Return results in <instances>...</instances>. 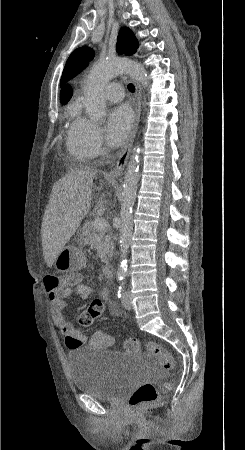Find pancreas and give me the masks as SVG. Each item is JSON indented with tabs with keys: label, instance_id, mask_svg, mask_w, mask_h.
Masks as SVG:
<instances>
[{
	"label": "pancreas",
	"instance_id": "1",
	"mask_svg": "<svg viewBox=\"0 0 245 450\" xmlns=\"http://www.w3.org/2000/svg\"><path fill=\"white\" fill-rule=\"evenodd\" d=\"M81 236L85 244L97 250V253L103 262H107L113 251V239L110 227L97 230L93 221H87L81 229Z\"/></svg>",
	"mask_w": 245,
	"mask_h": 450
}]
</instances>
